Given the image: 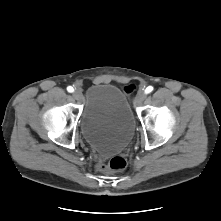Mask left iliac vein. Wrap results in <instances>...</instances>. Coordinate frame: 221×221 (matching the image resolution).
<instances>
[{
	"mask_svg": "<svg viewBox=\"0 0 221 221\" xmlns=\"http://www.w3.org/2000/svg\"><path fill=\"white\" fill-rule=\"evenodd\" d=\"M145 99L146 92L144 90H139L135 98V104L140 105Z\"/></svg>",
	"mask_w": 221,
	"mask_h": 221,
	"instance_id": "4c4485c4",
	"label": "left iliac vein"
}]
</instances>
